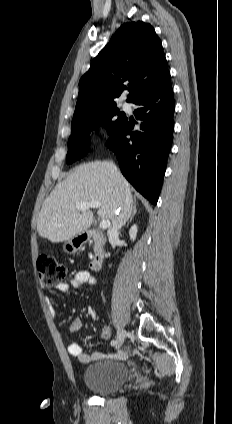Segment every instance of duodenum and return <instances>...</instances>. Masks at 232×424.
<instances>
[{
	"mask_svg": "<svg viewBox=\"0 0 232 424\" xmlns=\"http://www.w3.org/2000/svg\"><path fill=\"white\" fill-rule=\"evenodd\" d=\"M83 236L86 242L90 240H93L95 242V248L93 252V258L90 263V268L92 271H98L101 268L106 255L105 236L102 232L97 230H91L89 232H86Z\"/></svg>",
	"mask_w": 232,
	"mask_h": 424,
	"instance_id": "obj_1",
	"label": "duodenum"
}]
</instances>
